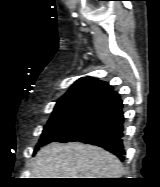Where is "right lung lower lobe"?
Here are the masks:
<instances>
[{
  "instance_id": "98d812e1",
  "label": "right lung lower lobe",
  "mask_w": 160,
  "mask_h": 187,
  "mask_svg": "<svg viewBox=\"0 0 160 187\" xmlns=\"http://www.w3.org/2000/svg\"><path fill=\"white\" fill-rule=\"evenodd\" d=\"M122 100L113 94L99 103L94 111L70 132L58 138L57 142L79 141L93 144L115 154L124 160Z\"/></svg>"
}]
</instances>
